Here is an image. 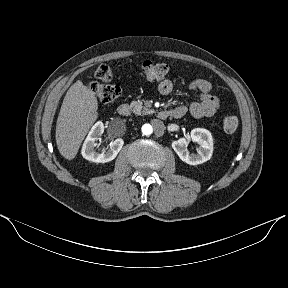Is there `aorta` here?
I'll use <instances>...</instances> for the list:
<instances>
[{"instance_id": "1", "label": "aorta", "mask_w": 288, "mask_h": 288, "mask_svg": "<svg viewBox=\"0 0 288 288\" xmlns=\"http://www.w3.org/2000/svg\"><path fill=\"white\" fill-rule=\"evenodd\" d=\"M142 132L144 135H151L153 133V127L150 124L142 126Z\"/></svg>"}]
</instances>
